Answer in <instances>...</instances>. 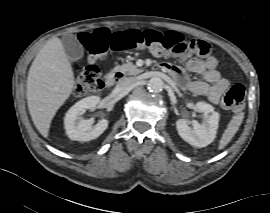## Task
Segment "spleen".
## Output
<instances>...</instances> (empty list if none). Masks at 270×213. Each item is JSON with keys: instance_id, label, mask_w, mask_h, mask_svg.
<instances>
[{"instance_id": "obj_1", "label": "spleen", "mask_w": 270, "mask_h": 213, "mask_svg": "<svg viewBox=\"0 0 270 213\" xmlns=\"http://www.w3.org/2000/svg\"><path fill=\"white\" fill-rule=\"evenodd\" d=\"M244 118V113H239L232 117L230 122L228 123L227 128L225 129L219 143V149H223L234 137L236 132L238 131L242 121Z\"/></svg>"}]
</instances>
